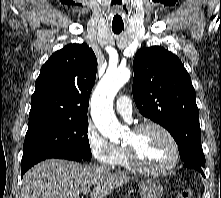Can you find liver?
<instances>
[{"instance_id": "6515ba94", "label": "liver", "mask_w": 221, "mask_h": 198, "mask_svg": "<svg viewBox=\"0 0 221 198\" xmlns=\"http://www.w3.org/2000/svg\"><path fill=\"white\" fill-rule=\"evenodd\" d=\"M132 178L100 166L48 159L32 167L23 177V198H76L90 191V198H104Z\"/></svg>"}]
</instances>
